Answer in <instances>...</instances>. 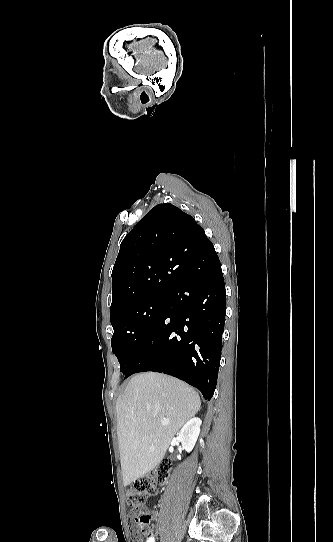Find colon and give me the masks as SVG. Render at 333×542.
<instances>
[{
    "label": "colon",
    "mask_w": 333,
    "mask_h": 542,
    "mask_svg": "<svg viewBox=\"0 0 333 542\" xmlns=\"http://www.w3.org/2000/svg\"><path fill=\"white\" fill-rule=\"evenodd\" d=\"M170 467V461H162L148 475L137 479L134 486L128 490L126 499L130 506L128 514L133 528L131 532L133 540H142L144 534L150 531L148 522L152 517L147 513L149 510L147 496L157 495L159 489L167 482Z\"/></svg>",
    "instance_id": "obj_1"
}]
</instances>
